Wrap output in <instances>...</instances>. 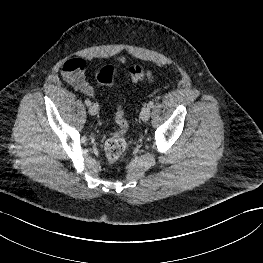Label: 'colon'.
I'll use <instances>...</instances> for the list:
<instances>
[{"mask_svg":"<svg viewBox=\"0 0 263 263\" xmlns=\"http://www.w3.org/2000/svg\"><path fill=\"white\" fill-rule=\"evenodd\" d=\"M130 78L137 82L141 80H151L154 75L151 71L144 70L139 66H133L129 69ZM97 80L105 86H112L115 81V71L112 66H104L97 74ZM115 121L118 127L117 132L108 138L105 142V157L108 162L117 161L127 149V131L128 121L125 118L124 111L121 106L118 107Z\"/></svg>","mask_w":263,"mask_h":263,"instance_id":"colon-1","label":"colon"}]
</instances>
